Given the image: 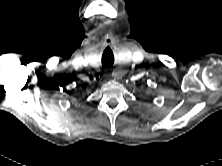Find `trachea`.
I'll use <instances>...</instances> for the list:
<instances>
[{"label": "trachea", "instance_id": "3493384b", "mask_svg": "<svg viewBox=\"0 0 222 166\" xmlns=\"http://www.w3.org/2000/svg\"><path fill=\"white\" fill-rule=\"evenodd\" d=\"M114 63V56L111 49H106L102 56V66L103 67H112Z\"/></svg>", "mask_w": 222, "mask_h": 166}]
</instances>
